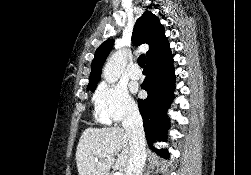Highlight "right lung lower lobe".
<instances>
[{"label":"right lung lower lobe","instance_id":"right-lung-lower-lobe-1","mask_svg":"<svg viewBox=\"0 0 251 175\" xmlns=\"http://www.w3.org/2000/svg\"><path fill=\"white\" fill-rule=\"evenodd\" d=\"M143 73L146 75L141 87L147 91L148 97L144 100L138 99V106L143 118L144 130L149 146L156 140L166 141L169 126L167 109L172 101L175 87V75L172 54L158 63L147 64ZM162 156L168 158L167 150L154 149Z\"/></svg>","mask_w":251,"mask_h":175}]
</instances>
